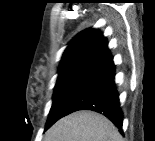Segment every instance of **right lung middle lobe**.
I'll return each mask as SVG.
<instances>
[{"mask_svg": "<svg viewBox=\"0 0 155 141\" xmlns=\"http://www.w3.org/2000/svg\"><path fill=\"white\" fill-rule=\"evenodd\" d=\"M94 72L91 70H73L59 74L45 131L60 119L62 107Z\"/></svg>", "mask_w": 155, "mask_h": 141, "instance_id": "right-lung-middle-lobe-1", "label": "right lung middle lobe"}]
</instances>
